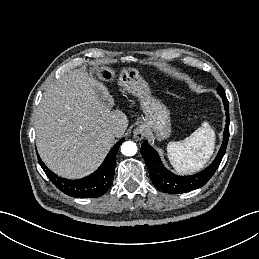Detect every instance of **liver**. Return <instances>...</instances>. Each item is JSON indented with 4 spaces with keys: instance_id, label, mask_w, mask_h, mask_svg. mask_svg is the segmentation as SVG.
<instances>
[{
    "instance_id": "obj_1",
    "label": "liver",
    "mask_w": 259,
    "mask_h": 259,
    "mask_svg": "<svg viewBox=\"0 0 259 259\" xmlns=\"http://www.w3.org/2000/svg\"><path fill=\"white\" fill-rule=\"evenodd\" d=\"M113 105L108 89L85 70L54 82L34 116L37 149L49 169L68 179L95 171L128 127L125 113ZM113 125L121 127L119 135L111 132Z\"/></svg>"
}]
</instances>
